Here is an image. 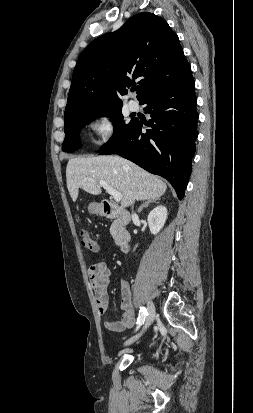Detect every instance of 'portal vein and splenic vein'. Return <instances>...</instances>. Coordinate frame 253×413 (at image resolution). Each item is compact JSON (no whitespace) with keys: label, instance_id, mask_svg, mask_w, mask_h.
Returning <instances> with one entry per match:
<instances>
[{"label":"portal vein and splenic vein","instance_id":"1","mask_svg":"<svg viewBox=\"0 0 253 413\" xmlns=\"http://www.w3.org/2000/svg\"><path fill=\"white\" fill-rule=\"evenodd\" d=\"M99 185L103 187L108 192V194H110L114 198L115 201H121V193L114 189L112 186H110L107 182L99 181Z\"/></svg>","mask_w":253,"mask_h":413}]
</instances>
